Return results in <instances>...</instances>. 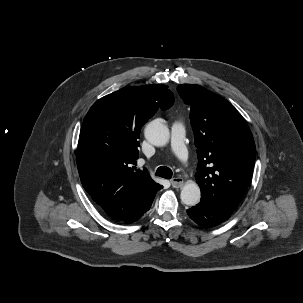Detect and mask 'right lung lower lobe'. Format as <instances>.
<instances>
[{
	"label": "right lung lower lobe",
	"instance_id": "right-lung-lower-lobe-1",
	"mask_svg": "<svg viewBox=\"0 0 303 303\" xmlns=\"http://www.w3.org/2000/svg\"><path fill=\"white\" fill-rule=\"evenodd\" d=\"M155 195H153L152 197H150L145 204L143 205V207L135 214H133L132 216L122 220V221H118L120 223H125V224H130L135 222L136 220H138L139 218H141L145 212H147L149 210V208L151 207V204L153 202Z\"/></svg>",
	"mask_w": 303,
	"mask_h": 303
}]
</instances>
